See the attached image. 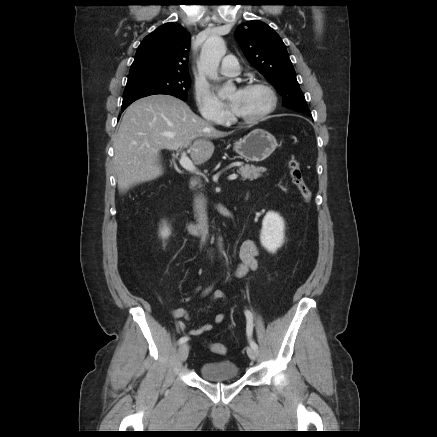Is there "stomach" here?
I'll list each match as a JSON object with an SVG mask.
<instances>
[{
  "label": "stomach",
  "mask_w": 437,
  "mask_h": 437,
  "mask_svg": "<svg viewBox=\"0 0 437 437\" xmlns=\"http://www.w3.org/2000/svg\"><path fill=\"white\" fill-rule=\"evenodd\" d=\"M275 137L263 129H255L234 144V150L246 161L261 162L276 149Z\"/></svg>",
  "instance_id": "obj_1"
}]
</instances>
